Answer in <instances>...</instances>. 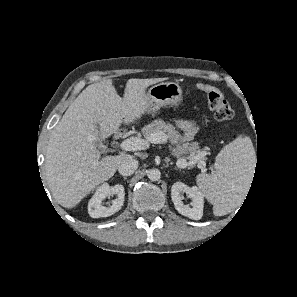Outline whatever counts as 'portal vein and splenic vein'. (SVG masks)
I'll list each match as a JSON object with an SVG mask.
<instances>
[{
	"label": "portal vein and splenic vein",
	"instance_id": "portal-vein-and-splenic-vein-1",
	"mask_svg": "<svg viewBox=\"0 0 297 297\" xmlns=\"http://www.w3.org/2000/svg\"><path fill=\"white\" fill-rule=\"evenodd\" d=\"M167 137L164 135L162 132H157V133H152L150 137H148L146 140L133 137V138H128L124 140L120 144V148L125 151H137V150H146L149 148V143H154V144H165L167 143ZM178 165H183L184 167L186 166H191L193 163L192 162H186L183 159H179L177 161ZM201 167H204V164H201Z\"/></svg>",
	"mask_w": 297,
	"mask_h": 297
}]
</instances>
